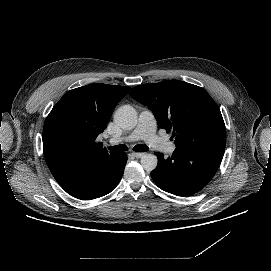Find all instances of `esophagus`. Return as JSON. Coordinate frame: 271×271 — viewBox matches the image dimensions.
I'll return each instance as SVG.
<instances>
[{
    "label": "esophagus",
    "instance_id": "34e87169",
    "mask_svg": "<svg viewBox=\"0 0 271 271\" xmlns=\"http://www.w3.org/2000/svg\"><path fill=\"white\" fill-rule=\"evenodd\" d=\"M145 153L143 152H133L132 155L136 158H141Z\"/></svg>",
    "mask_w": 271,
    "mask_h": 271
}]
</instances>
